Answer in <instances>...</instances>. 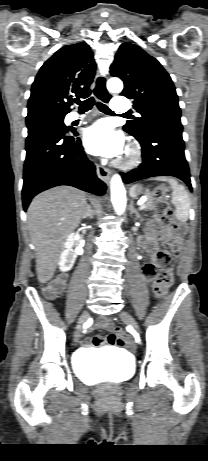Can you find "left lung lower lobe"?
Here are the masks:
<instances>
[{"instance_id":"0a47b994","label":"left lung lower lobe","mask_w":208,"mask_h":461,"mask_svg":"<svg viewBox=\"0 0 208 461\" xmlns=\"http://www.w3.org/2000/svg\"><path fill=\"white\" fill-rule=\"evenodd\" d=\"M136 139L142 146L143 162L136 169L120 173L125 183L154 176H174L183 180L192 189L184 154L181 124L158 123Z\"/></svg>"}]
</instances>
